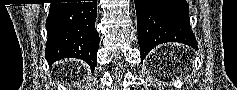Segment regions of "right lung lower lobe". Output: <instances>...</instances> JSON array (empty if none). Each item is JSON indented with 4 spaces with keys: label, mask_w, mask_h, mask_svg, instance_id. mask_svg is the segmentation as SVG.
Returning <instances> with one entry per match:
<instances>
[{
    "label": "right lung lower lobe",
    "mask_w": 237,
    "mask_h": 90,
    "mask_svg": "<svg viewBox=\"0 0 237 90\" xmlns=\"http://www.w3.org/2000/svg\"><path fill=\"white\" fill-rule=\"evenodd\" d=\"M97 2L51 4L46 20L45 56L49 65L63 58L97 65L99 34L95 29Z\"/></svg>",
    "instance_id": "obj_1"
}]
</instances>
